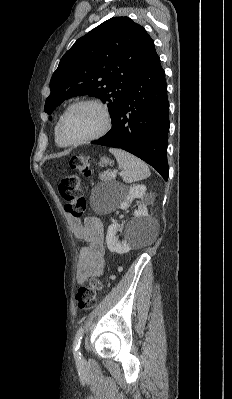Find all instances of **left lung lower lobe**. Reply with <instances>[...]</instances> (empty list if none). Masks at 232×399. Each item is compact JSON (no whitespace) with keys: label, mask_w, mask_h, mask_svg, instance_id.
Segmentation results:
<instances>
[{"label":"left lung lower lobe","mask_w":232,"mask_h":399,"mask_svg":"<svg viewBox=\"0 0 232 399\" xmlns=\"http://www.w3.org/2000/svg\"><path fill=\"white\" fill-rule=\"evenodd\" d=\"M168 111L165 72L152 40L129 83L112 129L91 143L130 152L167 180Z\"/></svg>","instance_id":"obj_1"}]
</instances>
